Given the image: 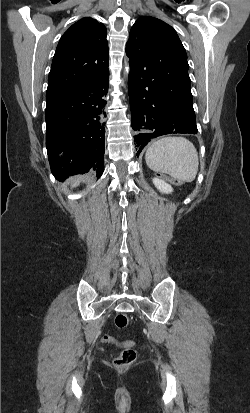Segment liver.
I'll list each match as a JSON object with an SVG mask.
<instances>
[{
  "instance_id": "6515ba94",
  "label": "liver",
  "mask_w": 250,
  "mask_h": 413,
  "mask_svg": "<svg viewBox=\"0 0 250 413\" xmlns=\"http://www.w3.org/2000/svg\"><path fill=\"white\" fill-rule=\"evenodd\" d=\"M79 184V180H76L75 182H74V186H77Z\"/></svg>"
}]
</instances>
